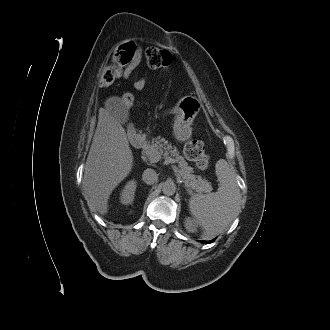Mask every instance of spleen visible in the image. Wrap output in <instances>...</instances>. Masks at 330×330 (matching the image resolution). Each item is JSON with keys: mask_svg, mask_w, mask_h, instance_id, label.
Instances as JSON below:
<instances>
[{"mask_svg": "<svg viewBox=\"0 0 330 330\" xmlns=\"http://www.w3.org/2000/svg\"><path fill=\"white\" fill-rule=\"evenodd\" d=\"M215 170L220 182L218 190L208 194H195L188 205L206 238L223 232L239 209L240 192L235 170L225 159L217 161Z\"/></svg>", "mask_w": 330, "mask_h": 330, "instance_id": "3e777b00", "label": "spleen"}]
</instances>
